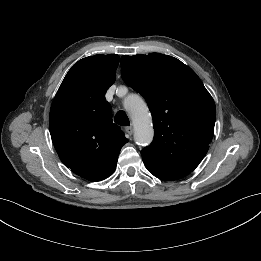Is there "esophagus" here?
Here are the masks:
<instances>
[{"label":"esophagus","mask_w":261,"mask_h":261,"mask_svg":"<svg viewBox=\"0 0 261 261\" xmlns=\"http://www.w3.org/2000/svg\"><path fill=\"white\" fill-rule=\"evenodd\" d=\"M125 131L128 135H132L133 134V127L132 126H127L125 128Z\"/></svg>","instance_id":"1"}]
</instances>
